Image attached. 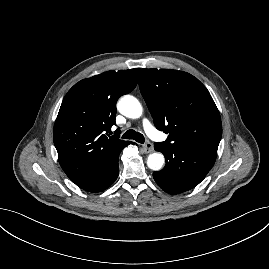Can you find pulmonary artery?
I'll list each match as a JSON object with an SVG mask.
<instances>
[{
  "instance_id": "e3ab8cb5",
  "label": "pulmonary artery",
  "mask_w": 269,
  "mask_h": 269,
  "mask_svg": "<svg viewBox=\"0 0 269 269\" xmlns=\"http://www.w3.org/2000/svg\"><path fill=\"white\" fill-rule=\"evenodd\" d=\"M143 127L150 138L155 140L159 138L158 131L155 129V127L150 123L148 119L143 120Z\"/></svg>"
}]
</instances>
